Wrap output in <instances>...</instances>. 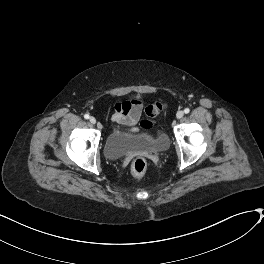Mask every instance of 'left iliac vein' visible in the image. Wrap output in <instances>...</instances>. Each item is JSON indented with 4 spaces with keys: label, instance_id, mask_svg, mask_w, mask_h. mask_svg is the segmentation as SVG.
<instances>
[{
    "label": "left iliac vein",
    "instance_id": "obj_1",
    "mask_svg": "<svg viewBox=\"0 0 264 264\" xmlns=\"http://www.w3.org/2000/svg\"><path fill=\"white\" fill-rule=\"evenodd\" d=\"M183 115H184L183 111H178L176 116H177L178 119H180V118L183 117Z\"/></svg>",
    "mask_w": 264,
    "mask_h": 264
}]
</instances>
